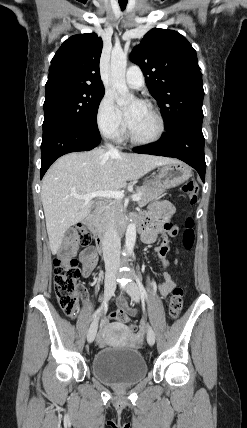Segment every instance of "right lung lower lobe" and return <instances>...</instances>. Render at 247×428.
<instances>
[{
  "mask_svg": "<svg viewBox=\"0 0 247 428\" xmlns=\"http://www.w3.org/2000/svg\"><path fill=\"white\" fill-rule=\"evenodd\" d=\"M101 141L98 128H86L71 123L58 122L43 127L41 144V178L50 165L60 156L77 151H88Z\"/></svg>",
  "mask_w": 247,
  "mask_h": 428,
  "instance_id": "right-lung-lower-lobe-1",
  "label": "right lung lower lobe"
}]
</instances>
